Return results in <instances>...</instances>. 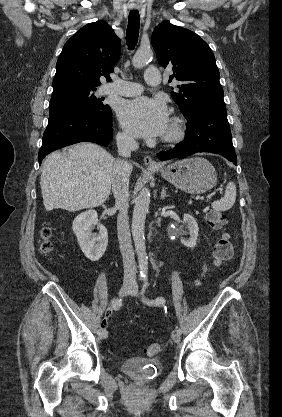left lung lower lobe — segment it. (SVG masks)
Here are the masks:
<instances>
[{"mask_svg":"<svg viewBox=\"0 0 282 417\" xmlns=\"http://www.w3.org/2000/svg\"><path fill=\"white\" fill-rule=\"evenodd\" d=\"M185 140L167 152L157 154L160 160L181 158L200 152L219 154L237 164L224 102H205L190 110Z\"/></svg>","mask_w":282,"mask_h":417,"instance_id":"obj_1","label":"left lung lower lobe"}]
</instances>
